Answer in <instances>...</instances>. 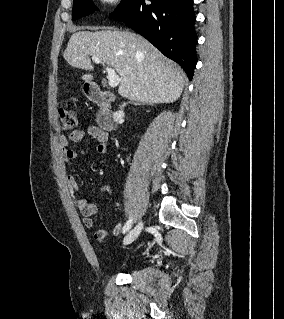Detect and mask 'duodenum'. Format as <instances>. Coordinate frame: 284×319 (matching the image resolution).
Wrapping results in <instances>:
<instances>
[{"mask_svg": "<svg viewBox=\"0 0 284 319\" xmlns=\"http://www.w3.org/2000/svg\"><path fill=\"white\" fill-rule=\"evenodd\" d=\"M89 99L98 106L97 123L104 131H111L114 126L111 102L113 94L102 91L96 86H90L87 90Z\"/></svg>", "mask_w": 284, "mask_h": 319, "instance_id": "duodenum-1", "label": "duodenum"}]
</instances>
